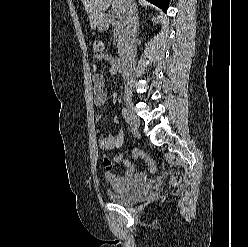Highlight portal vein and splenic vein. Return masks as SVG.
Segmentation results:
<instances>
[{
  "instance_id": "obj_1",
  "label": "portal vein and splenic vein",
  "mask_w": 248,
  "mask_h": 247,
  "mask_svg": "<svg viewBox=\"0 0 248 247\" xmlns=\"http://www.w3.org/2000/svg\"><path fill=\"white\" fill-rule=\"evenodd\" d=\"M116 16H120V13H118L117 11H116Z\"/></svg>"
}]
</instances>
